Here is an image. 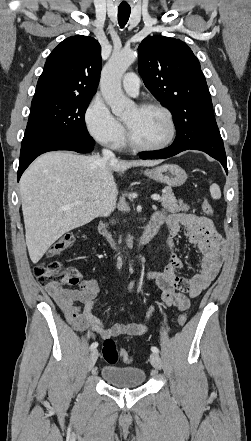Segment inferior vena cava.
I'll return each instance as SVG.
<instances>
[{"instance_id": "602c4592", "label": "inferior vena cava", "mask_w": 251, "mask_h": 441, "mask_svg": "<svg viewBox=\"0 0 251 441\" xmlns=\"http://www.w3.org/2000/svg\"><path fill=\"white\" fill-rule=\"evenodd\" d=\"M102 154H103V158L106 160H112V161L116 160L114 153L108 149H103Z\"/></svg>"}]
</instances>
